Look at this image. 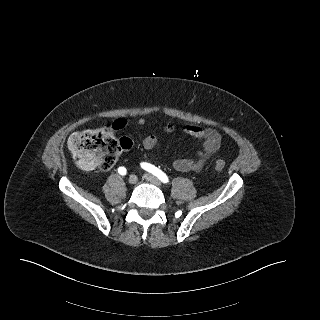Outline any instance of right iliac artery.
I'll use <instances>...</instances> for the list:
<instances>
[{"instance_id":"1","label":"right iliac artery","mask_w":320,"mask_h":320,"mask_svg":"<svg viewBox=\"0 0 320 320\" xmlns=\"http://www.w3.org/2000/svg\"><path fill=\"white\" fill-rule=\"evenodd\" d=\"M118 172L121 174V175H126L127 174V170L125 167H119L118 168Z\"/></svg>"}]
</instances>
